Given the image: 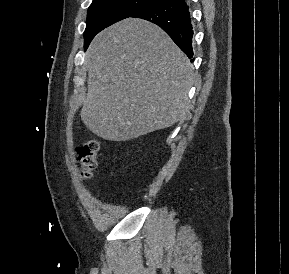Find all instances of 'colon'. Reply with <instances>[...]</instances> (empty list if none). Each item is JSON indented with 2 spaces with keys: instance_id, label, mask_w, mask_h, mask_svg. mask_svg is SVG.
Wrapping results in <instances>:
<instances>
[{
  "instance_id": "5ec220e1",
  "label": "colon",
  "mask_w": 289,
  "mask_h": 274,
  "mask_svg": "<svg viewBox=\"0 0 289 274\" xmlns=\"http://www.w3.org/2000/svg\"><path fill=\"white\" fill-rule=\"evenodd\" d=\"M98 140L91 138L77 148L78 158L85 178H90L97 166Z\"/></svg>"
}]
</instances>
